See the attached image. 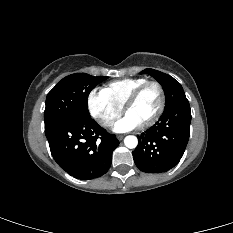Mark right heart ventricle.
<instances>
[{"label": "right heart ventricle", "mask_w": 233, "mask_h": 233, "mask_svg": "<svg viewBox=\"0 0 233 233\" xmlns=\"http://www.w3.org/2000/svg\"><path fill=\"white\" fill-rule=\"evenodd\" d=\"M145 78H126L108 83L102 91L115 104L123 107L131 93L147 82Z\"/></svg>", "instance_id": "e07e8e85"}]
</instances>
